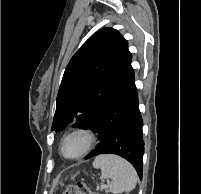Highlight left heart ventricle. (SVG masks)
Returning <instances> with one entry per match:
<instances>
[{
	"instance_id": "b2bd125f",
	"label": "left heart ventricle",
	"mask_w": 201,
	"mask_h": 194,
	"mask_svg": "<svg viewBox=\"0 0 201 194\" xmlns=\"http://www.w3.org/2000/svg\"><path fill=\"white\" fill-rule=\"evenodd\" d=\"M85 144L86 140L83 136H73L65 142L63 151L66 155L73 156L81 152L85 147Z\"/></svg>"
}]
</instances>
